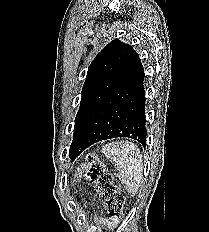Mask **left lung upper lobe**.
I'll use <instances>...</instances> for the list:
<instances>
[{
    "label": "left lung upper lobe",
    "instance_id": "obj_1",
    "mask_svg": "<svg viewBox=\"0 0 209 232\" xmlns=\"http://www.w3.org/2000/svg\"><path fill=\"white\" fill-rule=\"evenodd\" d=\"M136 57L134 49L118 39L110 42L98 53L88 68L74 133L90 110L107 99L123 82Z\"/></svg>",
    "mask_w": 209,
    "mask_h": 232
}]
</instances>
